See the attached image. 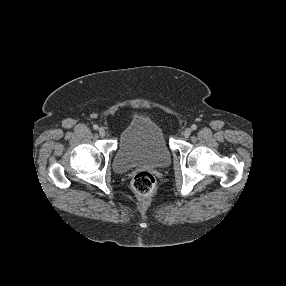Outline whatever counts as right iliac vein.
I'll list each match as a JSON object with an SVG mask.
<instances>
[{
    "label": "right iliac vein",
    "mask_w": 286,
    "mask_h": 286,
    "mask_svg": "<svg viewBox=\"0 0 286 286\" xmlns=\"http://www.w3.org/2000/svg\"><path fill=\"white\" fill-rule=\"evenodd\" d=\"M98 132L101 137H104L106 135V131L103 127L99 128Z\"/></svg>",
    "instance_id": "obj_1"
}]
</instances>
